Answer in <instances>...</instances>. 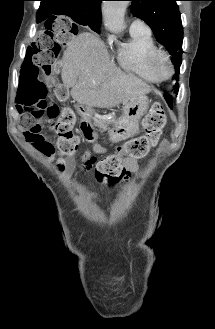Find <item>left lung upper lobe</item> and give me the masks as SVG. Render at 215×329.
<instances>
[{"instance_id":"5c2ea615","label":"left lung upper lobe","mask_w":215,"mask_h":329,"mask_svg":"<svg viewBox=\"0 0 215 329\" xmlns=\"http://www.w3.org/2000/svg\"><path fill=\"white\" fill-rule=\"evenodd\" d=\"M131 11L134 16L144 20L153 30L156 39L163 44L172 55L175 66L174 78L178 80L182 63L183 28L178 0H130ZM178 84L174 92L178 93Z\"/></svg>"}]
</instances>
